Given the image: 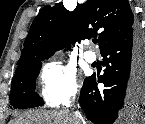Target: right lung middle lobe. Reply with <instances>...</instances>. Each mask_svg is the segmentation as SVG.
Masks as SVG:
<instances>
[{"mask_svg": "<svg viewBox=\"0 0 145 124\" xmlns=\"http://www.w3.org/2000/svg\"><path fill=\"white\" fill-rule=\"evenodd\" d=\"M42 66L37 61L15 74L11 83L10 102L14 108L24 109L43 105V100L35 92V79Z\"/></svg>", "mask_w": 145, "mask_h": 124, "instance_id": "dd1d6c3e", "label": "right lung middle lobe"}]
</instances>
